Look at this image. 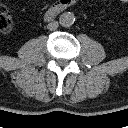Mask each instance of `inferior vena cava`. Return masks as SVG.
Instances as JSON below:
<instances>
[{
  "instance_id": "inferior-vena-cava-1",
  "label": "inferior vena cava",
  "mask_w": 128,
  "mask_h": 128,
  "mask_svg": "<svg viewBox=\"0 0 128 128\" xmlns=\"http://www.w3.org/2000/svg\"><path fill=\"white\" fill-rule=\"evenodd\" d=\"M59 24L57 21H53V22H50L48 25H47V29L50 30V31H54L58 28Z\"/></svg>"
}]
</instances>
